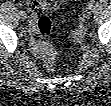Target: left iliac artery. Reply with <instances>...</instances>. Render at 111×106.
Wrapping results in <instances>:
<instances>
[{"label": "left iliac artery", "mask_w": 111, "mask_h": 106, "mask_svg": "<svg viewBox=\"0 0 111 106\" xmlns=\"http://www.w3.org/2000/svg\"><path fill=\"white\" fill-rule=\"evenodd\" d=\"M90 2H91V4H93V3H94V0H91Z\"/></svg>", "instance_id": "obj_1"}]
</instances>
